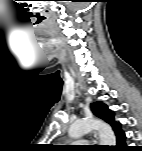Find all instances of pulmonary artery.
<instances>
[{"mask_svg": "<svg viewBox=\"0 0 142 151\" xmlns=\"http://www.w3.org/2000/svg\"><path fill=\"white\" fill-rule=\"evenodd\" d=\"M75 144H86L87 142L85 140H79L77 142H74Z\"/></svg>", "mask_w": 142, "mask_h": 151, "instance_id": "obj_1", "label": "pulmonary artery"}]
</instances>
